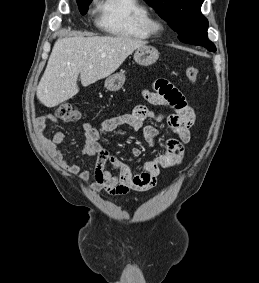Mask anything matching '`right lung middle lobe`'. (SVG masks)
<instances>
[{
	"instance_id": "right-lung-middle-lobe-1",
	"label": "right lung middle lobe",
	"mask_w": 259,
	"mask_h": 283,
	"mask_svg": "<svg viewBox=\"0 0 259 283\" xmlns=\"http://www.w3.org/2000/svg\"><path fill=\"white\" fill-rule=\"evenodd\" d=\"M91 2H92V0H77L79 10H80L82 15L86 14L88 7H89Z\"/></svg>"
}]
</instances>
